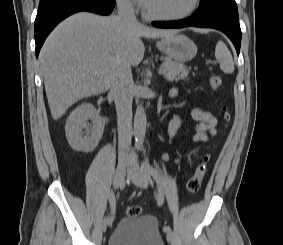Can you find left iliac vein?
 I'll return each instance as SVG.
<instances>
[{"label":"left iliac vein","instance_id":"4c4485c4","mask_svg":"<svg viewBox=\"0 0 283 245\" xmlns=\"http://www.w3.org/2000/svg\"><path fill=\"white\" fill-rule=\"evenodd\" d=\"M131 165L133 166V171L131 173L133 182L135 183L137 187L141 189H146L150 181L149 174L145 171L143 167L139 166L136 157L132 159ZM166 238L168 242H172L173 240L172 232H168L166 234Z\"/></svg>","mask_w":283,"mask_h":245}]
</instances>
